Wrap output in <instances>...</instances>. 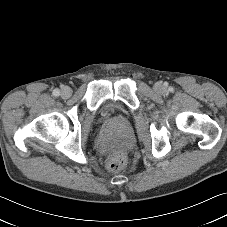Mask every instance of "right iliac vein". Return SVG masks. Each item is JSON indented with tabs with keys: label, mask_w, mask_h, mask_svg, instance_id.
<instances>
[{
	"label": "right iliac vein",
	"mask_w": 227,
	"mask_h": 227,
	"mask_svg": "<svg viewBox=\"0 0 227 227\" xmlns=\"http://www.w3.org/2000/svg\"><path fill=\"white\" fill-rule=\"evenodd\" d=\"M71 95V89L67 86H65L61 91V96L64 98H67Z\"/></svg>",
	"instance_id": "right-iliac-vein-1"
}]
</instances>
